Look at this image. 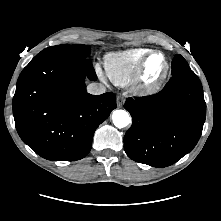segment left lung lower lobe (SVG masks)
Segmentation results:
<instances>
[{
	"label": "left lung lower lobe",
	"instance_id": "obj_1",
	"mask_svg": "<svg viewBox=\"0 0 221 221\" xmlns=\"http://www.w3.org/2000/svg\"><path fill=\"white\" fill-rule=\"evenodd\" d=\"M133 123L124 136L131 159L153 167L174 164L197 144L206 116L199 78L191 70L175 75L159 93L128 98Z\"/></svg>",
	"mask_w": 221,
	"mask_h": 221
}]
</instances>
